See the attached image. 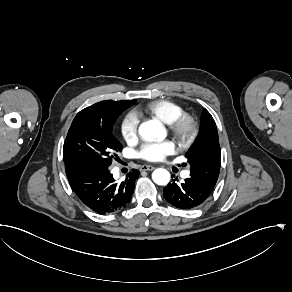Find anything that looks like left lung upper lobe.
Wrapping results in <instances>:
<instances>
[{
	"instance_id": "obj_1",
	"label": "left lung upper lobe",
	"mask_w": 292,
	"mask_h": 292,
	"mask_svg": "<svg viewBox=\"0 0 292 292\" xmlns=\"http://www.w3.org/2000/svg\"><path fill=\"white\" fill-rule=\"evenodd\" d=\"M190 164V178L215 186L221 164V151L215 121L203 109L199 134L186 153Z\"/></svg>"
}]
</instances>
